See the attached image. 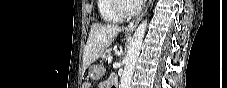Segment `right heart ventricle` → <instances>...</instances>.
<instances>
[{
	"label": "right heart ventricle",
	"instance_id": "right-heart-ventricle-1",
	"mask_svg": "<svg viewBox=\"0 0 227 88\" xmlns=\"http://www.w3.org/2000/svg\"><path fill=\"white\" fill-rule=\"evenodd\" d=\"M116 0H97L100 17L107 22H120L121 17L114 10Z\"/></svg>",
	"mask_w": 227,
	"mask_h": 88
}]
</instances>
